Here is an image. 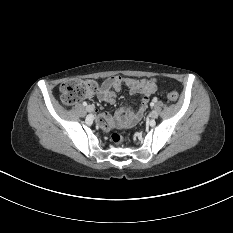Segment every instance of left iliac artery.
<instances>
[{"mask_svg": "<svg viewBox=\"0 0 233 233\" xmlns=\"http://www.w3.org/2000/svg\"><path fill=\"white\" fill-rule=\"evenodd\" d=\"M154 100H156V99H154ZM150 106H151V107H153V106H154V103H153V102H151V103H150Z\"/></svg>", "mask_w": 233, "mask_h": 233, "instance_id": "44dca946", "label": "left iliac artery"}]
</instances>
